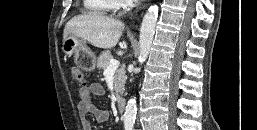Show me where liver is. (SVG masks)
<instances>
[{"instance_id": "1", "label": "liver", "mask_w": 257, "mask_h": 130, "mask_svg": "<svg viewBox=\"0 0 257 130\" xmlns=\"http://www.w3.org/2000/svg\"><path fill=\"white\" fill-rule=\"evenodd\" d=\"M124 24L113 18L105 17L95 13H89L73 17L64 28V39L74 34L95 47L109 49L116 46Z\"/></svg>"}]
</instances>
